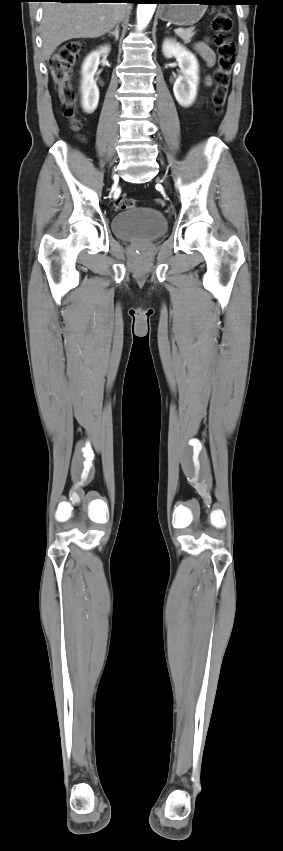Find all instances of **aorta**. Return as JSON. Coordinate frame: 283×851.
<instances>
[{
	"label": "aorta",
	"mask_w": 283,
	"mask_h": 851,
	"mask_svg": "<svg viewBox=\"0 0 283 851\" xmlns=\"http://www.w3.org/2000/svg\"><path fill=\"white\" fill-rule=\"evenodd\" d=\"M156 9L155 3H140L137 7V21L140 26H145L151 20Z\"/></svg>",
	"instance_id": "762f6f07"
}]
</instances>
